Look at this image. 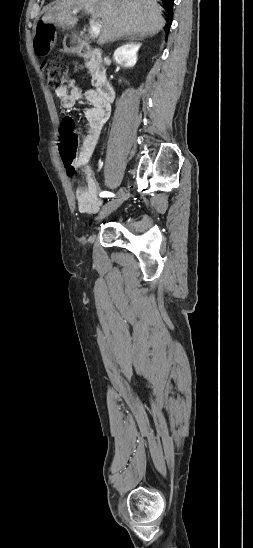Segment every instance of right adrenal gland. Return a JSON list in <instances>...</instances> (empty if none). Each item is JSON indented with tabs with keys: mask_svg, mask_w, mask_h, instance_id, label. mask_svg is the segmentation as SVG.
Segmentation results:
<instances>
[{
	"mask_svg": "<svg viewBox=\"0 0 253 548\" xmlns=\"http://www.w3.org/2000/svg\"><path fill=\"white\" fill-rule=\"evenodd\" d=\"M121 39H129V37L125 36V37H122V38H118V39H116V40H113V42H114V41H117V40H121Z\"/></svg>",
	"mask_w": 253,
	"mask_h": 548,
	"instance_id": "2a0ac1e0",
	"label": "right adrenal gland"
}]
</instances>
